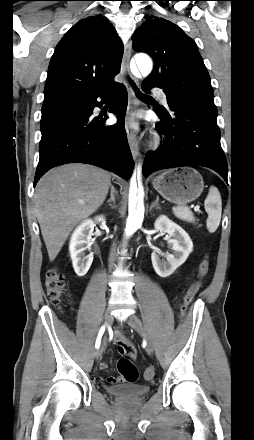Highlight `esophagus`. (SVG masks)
<instances>
[{
  "label": "esophagus",
  "instance_id": "esophagus-1",
  "mask_svg": "<svg viewBox=\"0 0 254 440\" xmlns=\"http://www.w3.org/2000/svg\"><path fill=\"white\" fill-rule=\"evenodd\" d=\"M130 58H131V43L128 42L124 48L121 70L123 74H127L131 77L129 70ZM126 87L129 94V100H128V107L125 117V127H126L127 139L132 156L134 159H137L139 158L140 153H139L138 141L136 138V129H135V124L133 122V116L136 111L138 102L133 87L128 82H126Z\"/></svg>",
  "mask_w": 254,
  "mask_h": 440
}]
</instances>
